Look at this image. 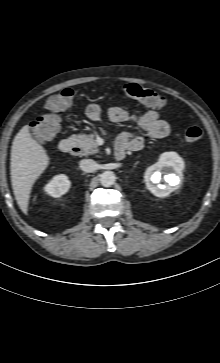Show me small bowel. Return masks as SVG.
Returning a JSON list of instances; mask_svg holds the SVG:
<instances>
[{
  "mask_svg": "<svg viewBox=\"0 0 220 363\" xmlns=\"http://www.w3.org/2000/svg\"><path fill=\"white\" fill-rule=\"evenodd\" d=\"M86 116L91 120H99L103 115V108L96 103L88 105ZM108 119L116 123L135 122L152 139H160L168 136L170 125L161 118L160 113L150 109L142 114L129 113L121 107H110L106 110ZM145 138L142 135L130 132H123L118 136L117 147H123L131 151H138L143 148Z\"/></svg>",
  "mask_w": 220,
  "mask_h": 363,
  "instance_id": "obj_1",
  "label": "small bowel"
}]
</instances>
